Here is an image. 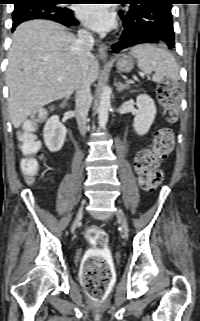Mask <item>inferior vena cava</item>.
Listing matches in <instances>:
<instances>
[{
  "mask_svg": "<svg viewBox=\"0 0 200 321\" xmlns=\"http://www.w3.org/2000/svg\"><path fill=\"white\" fill-rule=\"evenodd\" d=\"M94 45V38L86 30L78 31L77 39L75 41V50L79 60V71L76 81V120L79 131L82 136L87 130V116L92 102L90 91V81L88 79V57Z\"/></svg>",
  "mask_w": 200,
  "mask_h": 321,
  "instance_id": "602c4592",
  "label": "inferior vena cava"
}]
</instances>
